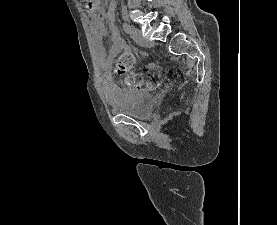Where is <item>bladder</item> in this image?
I'll return each instance as SVG.
<instances>
[{
  "label": "bladder",
  "mask_w": 277,
  "mask_h": 225,
  "mask_svg": "<svg viewBox=\"0 0 277 225\" xmlns=\"http://www.w3.org/2000/svg\"><path fill=\"white\" fill-rule=\"evenodd\" d=\"M154 107L153 96L144 90L127 89L121 91L119 98L111 107L114 114L128 115L135 119L150 116Z\"/></svg>",
  "instance_id": "bladder-1"
}]
</instances>
